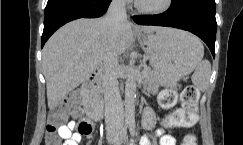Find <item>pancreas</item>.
Segmentation results:
<instances>
[{"mask_svg": "<svg viewBox=\"0 0 243 145\" xmlns=\"http://www.w3.org/2000/svg\"><path fill=\"white\" fill-rule=\"evenodd\" d=\"M147 76H145L146 85L149 89L157 88L159 85V76L156 72L153 71H145Z\"/></svg>", "mask_w": 243, "mask_h": 145, "instance_id": "1", "label": "pancreas"}]
</instances>
